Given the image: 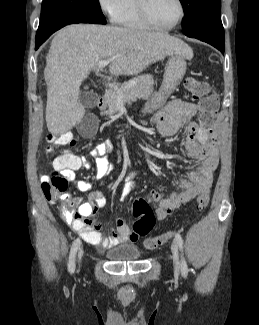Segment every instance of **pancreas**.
I'll return each mask as SVG.
<instances>
[{"mask_svg":"<svg viewBox=\"0 0 259 325\" xmlns=\"http://www.w3.org/2000/svg\"><path fill=\"white\" fill-rule=\"evenodd\" d=\"M134 83L129 86L130 83ZM153 77L150 75L139 76L129 82L121 85L120 92L110 91L106 95V104L108 109L102 110L101 115L113 116L118 111V104L121 101L123 104H131L137 99H148L153 92L154 85Z\"/></svg>","mask_w":259,"mask_h":325,"instance_id":"cf45deb5","label":"pancreas"}]
</instances>
